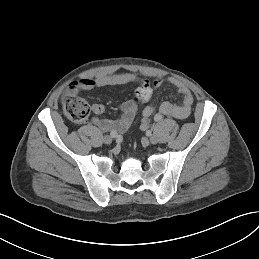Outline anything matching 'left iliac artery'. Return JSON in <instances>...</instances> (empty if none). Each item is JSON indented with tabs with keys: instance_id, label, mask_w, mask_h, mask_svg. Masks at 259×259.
Here are the masks:
<instances>
[{
	"instance_id": "1",
	"label": "left iliac artery",
	"mask_w": 259,
	"mask_h": 259,
	"mask_svg": "<svg viewBox=\"0 0 259 259\" xmlns=\"http://www.w3.org/2000/svg\"><path fill=\"white\" fill-rule=\"evenodd\" d=\"M162 118H163V116H162V114H160V113H157V114L154 116V120H155L156 122L161 121Z\"/></svg>"
}]
</instances>
